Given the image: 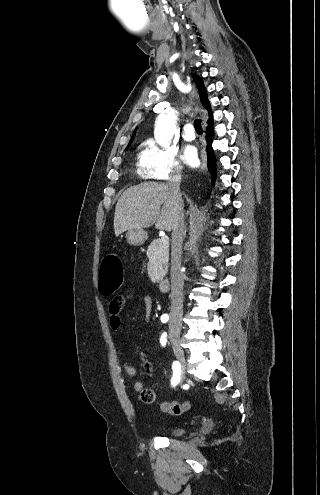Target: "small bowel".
<instances>
[{
    "mask_svg": "<svg viewBox=\"0 0 320 495\" xmlns=\"http://www.w3.org/2000/svg\"><path fill=\"white\" fill-rule=\"evenodd\" d=\"M130 300L132 305L143 304L145 308V316L148 319L153 311V300L150 295L139 292H127L124 295H119L114 297L109 305V321L110 325L114 330H118L121 326L122 322V312L125 307L126 302ZM124 372L128 376H134L136 374V369L128 364L127 362H123ZM133 388L135 391H142L143 384L139 381L134 382Z\"/></svg>",
    "mask_w": 320,
    "mask_h": 495,
    "instance_id": "small-bowel-1",
    "label": "small bowel"
}]
</instances>
